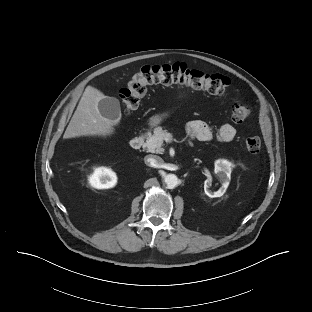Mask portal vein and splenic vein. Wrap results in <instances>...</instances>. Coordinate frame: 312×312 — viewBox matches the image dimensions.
Returning a JSON list of instances; mask_svg holds the SVG:
<instances>
[{
    "mask_svg": "<svg viewBox=\"0 0 312 312\" xmlns=\"http://www.w3.org/2000/svg\"><path fill=\"white\" fill-rule=\"evenodd\" d=\"M166 136L168 137L167 140H171L172 139V136L170 134H167Z\"/></svg>",
    "mask_w": 312,
    "mask_h": 312,
    "instance_id": "obj_1",
    "label": "portal vein and splenic vein"
}]
</instances>
